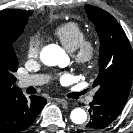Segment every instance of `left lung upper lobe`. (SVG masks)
<instances>
[{
  "label": "left lung upper lobe",
  "instance_id": "obj_1",
  "mask_svg": "<svg viewBox=\"0 0 133 133\" xmlns=\"http://www.w3.org/2000/svg\"><path fill=\"white\" fill-rule=\"evenodd\" d=\"M89 19L94 23L100 41L99 75L93 83L95 96L124 106L131 89L133 52L128 38L108 12L85 5Z\"/></svg>",
  "mask_w": 133,
  "mask_h": 133
}]
</instances>
